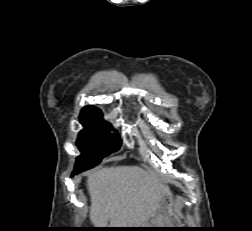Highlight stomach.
I'll return each instance as SVG.
<instances>
[{
    "instance_id": "0dacf381",
    "label": "stomach",
    "mask_w": 252,
    "mask_h": 231,
    "mask_svg": "<svg viewBox=\"0 0 252 231\" xmlns=\"http://www.w3.org/2000/svg\"><path fill=\"white\" fill-rule=\"evenodd\" d=\"M172 199L170 193H167L159 203V206L156 212L152 217L141 227L142 229H137L141 231H171L174 229L170 228H179L177 227V220L173 216L171 209ZM156 228V229H155ZM158 228V229H157Z\"/></svg>"
}]
</instances>
